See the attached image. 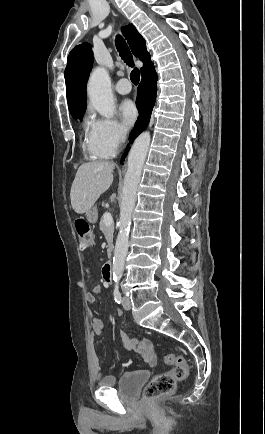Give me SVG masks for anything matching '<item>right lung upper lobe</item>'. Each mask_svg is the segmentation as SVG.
Wrapping results in <instances>:
<instances>
[{"mask_svg": "<svg viewBox=\"0 0 265 434\" xmlns=\"http://www.w3.org/2000/svg\"><path fill=\"white\" fill-rule=\"evenodd\" d=\"M130 44L133 54L145 61L150 58L145 40L136 28L129 24L122 28ZM93 65V52L88 43L77 45L69 53L65 69L66 95L68 105L75 102L86 101V82Z\"/></svg>", "mask_w": 265, "mask_h": 434, "instance_id": "right-lung-upper-lobe-1", "label": "right lung upper lobe"}]
</instances>
